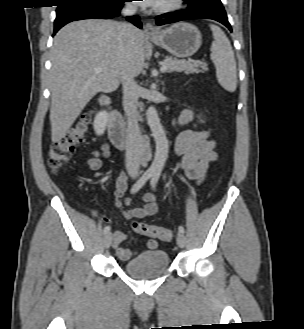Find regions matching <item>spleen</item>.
<instances>
[{
    "label": "spleen",
    "instance_id": "obj_1",
    "mask_svg": "<svg viewBox=\"0 0 304 329\" xmlns=\"http://www.w3.org/2000/svg\"><path fill=\"white\" fill-rule=\"evenodd\" d=\"M214 41L211 45V60L216 67L219 84L227 91L237 88V70L234 52L225 33L216 25H210Z\"/></svg>",
    "mask_w": 304,
    "mask_h": 329
}]
</instances>
